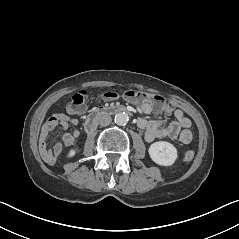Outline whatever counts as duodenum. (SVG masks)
<instances>
[{"label":"duodenum","instance_id":"duodenum-1","mask_svg":"<svg viewBox=\"0 0 239 239\" xmlns=\"http://www.w3.org/2000/svg\"><path fill=\"white\" fill-rule=\"evenodd\" d=\"M120 112H127L124 106H110V107H98L91 111L85 122V130L90 133L96 128L98 121L107 115H112Z\"/></svg>","mask_w":239,"mask_h":239}]
</instances>
